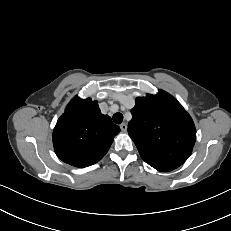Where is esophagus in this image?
Masks as SVG:
<instances>
[{
  "instance_id": "34e87169",
  "label": "esophagus",
  "mask_w": 231,
  "mask_h": 231,
  "mask_svg": "<svg viewBox=\"0 0 231 231\" xmlns=\"http://www.w3.org/2000/svg\"><path fill=\"white\" fill-rule=\"evenodd\" d=\"M120 128H121V130H122L123 132H126V131H127V124H126V123H122V124L120 125Z\"/></svg>"
}]
</instances>
